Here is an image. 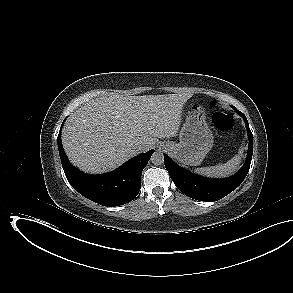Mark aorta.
I'll use <instances>...</instances> for the list:
<instances>
[{"label":"aorta","instance_id":"obj_1","mask_svg":"<svg viewBox=\"0 0 293 293\" xmlns=\"http://www.w3.org/2000/svg\"><path fill=\"white\" fill-rule=\"evenodd\" d=\"M151 162L154 165H161L164 162L163 153H161L160 151L154 152L151 156Z\"/></svg>","mask_w":293,"mask_h":293}]
</instances>
